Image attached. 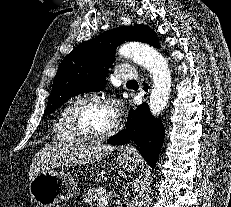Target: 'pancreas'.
Segmentation results:
<instances>
[{"mask_svg":"<svg viewBox=\"0 0 231 207\" xmlns=\"http://www.w3.org/2000/svg\"><path fill=\"white\" fill-rule=\"evenodd\" d=\"M103 196H108L104 187L91 188L83 196V202L87 204L99 202Z\"/></svg>","mask_w":231,"mask_h":207,"instance_id":"obj_1","label":"pancreas"}]
</instances>
